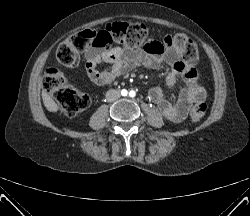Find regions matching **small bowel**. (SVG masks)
<instances>
[{
  "label": "small bowel",
  "mask_w": 250,
  "mask_h": 216,
  "mask_svg": "<svg viewBox=\"0 0 250 216\" xmlns=\"http://www.w3.org/2000/svg\"><path fill=\"white\" fill-rule=\"evenodd\" d=\"M85 69L89 79L96 85L111 84L116 78L143 66L157 70L163 63L170 66L166 79V88L172 90L176 76L184 78L186 86L179 92L177 100L171 102L165 98L164 89L154 87L149 91V98L161 114L169 121H183L192 105L203 102L206 98L204 87L200 83L197 70L180 59L178 51L163 39L152 40L142 45L141 49L122 47L90 48L85 52ZM109 66L99 70L98 65Z\"/></svg>",
  "instance_id": "c3829d8e"
}]
</instances>
